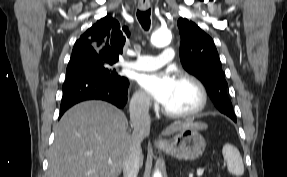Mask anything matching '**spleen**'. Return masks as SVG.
Listing matches in <instances>:
<instances>
[{"mask_svg": "<svg viewBox=\"0 0 287 177\" xmlns=\"http://www.w3.org/2000/svg\"><path fill=\"white\" fill-rule=\"evenodd\" d=\"M223 157L227 163V169L230 174L242 176L244 174V165L239 150L226 143L222 149Z\"/></svg>", "mask_w": 287, "mask_h": 177, "instance_id": "spleen-1", "label": "spleen"}]
</instances>
